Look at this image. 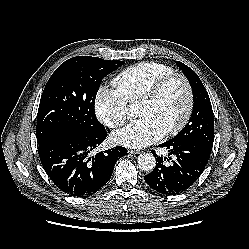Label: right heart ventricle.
Instances as JSON below:
<instances>
[{
	"mask_svg": "<svg viewBox=\"0 0 249 249\" xmlns=\"http://www.w3.org/2000/svg\"><path fill=\"white\" fill-rule=\"evenodd\" d=\"M173 72V68L162 63L141 62L122 70L112 82L128 103L138 100L157 80Z\"/></svg>",
	"mask_w": 249,
	"mask_h": 249,
	"instance_id": "1",
	"label": "right heart ventricle"
}]
</instances>
